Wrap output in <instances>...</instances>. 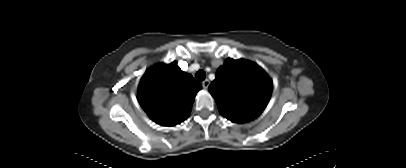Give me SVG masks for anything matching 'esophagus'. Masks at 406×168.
Returning a JSON list of instances; mask_svg holds the SVG:
<instances>
[{"label": "esophagus", "mask_w": 406, "mask_h": 168, "mask_svg": "<svg viewBox=\"0 0 406 168\" xmlns=\"http://www.w3.org/2000/svg\"><path fill=\"white\" fill-rule=\"evenodd\" d=\"M209 84H210V82H209L208 79H205V80L202 82V86H203L204 89H207L208 86H209Z\"/></svg>", "instance_id": "obj_1"}]
</instances>
